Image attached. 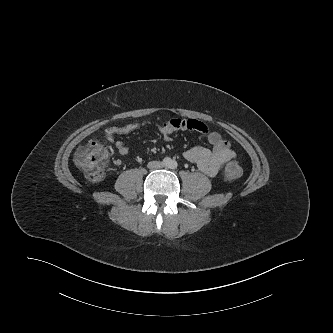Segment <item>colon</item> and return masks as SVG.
<instances>
[{
	"label": "colon",
	"mask_w": 333,
	"mask_h": 333,
	"mask_svg": "<svg viewBox=\"0 0 333 333\" xmlns=\"http://www.w3.org/2000/svg\"><path fill=\"white\" fill-rule=\"evenodd\" d=\"M109 154L107 148L98 141H92L80 148L74 156L76 166L91 181L102 179L108 164ZM242 169L236 162H230L224 175L228 180H235L240 177Z\"/></svg>",
	"instance_id": "colon-1"
}]
</instances>
